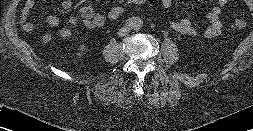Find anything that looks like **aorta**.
Segmentation results:
<instances>
[{"label":"aorta","instance_id":"1","mask_svg":"<svg viewBox=\"0 0 253 131\" xmlns=\"http://www.w3.org/2000/svg\"><path fill=\"white\" fill-rule=\"evenodd\" d=\"M141 24H142V22H141V20L139 19V20H138L137 27H139Z\"/></svg>","mask_w":253,"mask_h":131}]
</instances>
